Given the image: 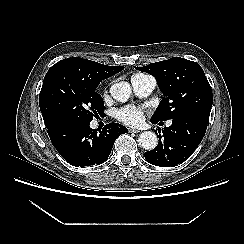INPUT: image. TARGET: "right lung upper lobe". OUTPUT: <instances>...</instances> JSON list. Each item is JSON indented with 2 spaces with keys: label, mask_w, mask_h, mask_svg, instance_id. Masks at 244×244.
<instances>
[{
  "label": "right lung upper lobe",
  "mask_w": 244,
  "mask_h": 244,
  "mask_svg": "<svg viewBox=\"0 0 244 244\" xmlns=\"http://www.w3.org/2000/svg\"><path fill=\"white\" fill-rule=\"evenodd\" d=\"M123 66H107L79 57L63 59L54 64L48 71H59L88 86H98L99 83L122 71Z\"/></svg>",
  "instance_id": "obj_1"
}]
</instances>
